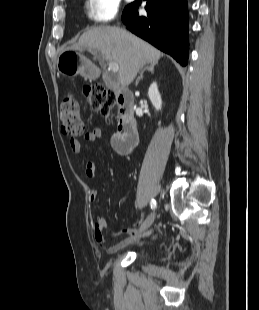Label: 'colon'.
Listing matches in <instances>:
<instances>
[{
    "mask_svg": "<svg viewBox=\"0 0 259 310\" xmlns=\"http://www.w3.org/2000/svg\"><path fill=\"white\" fill-rule=\"evenodd\" d=\"M84 95L89 106L104 117L111 118L110 110L116 103V95L113 91L97 84L84 89ZM60 122L66 134L79 137L84 132L80 106L74 95H67L60 105Z\"/></svg>",
    "mask_w": 259,
    "mask_h": 310,
    "instance_id": "obj_1",
    "label": "colon"
}]
</instances>
